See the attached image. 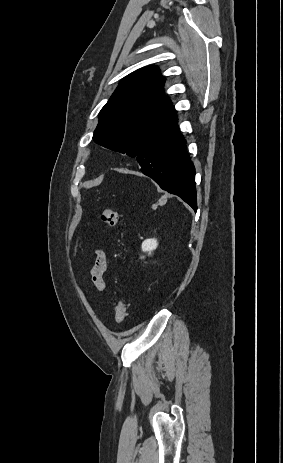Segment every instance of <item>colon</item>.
Segmentation results:
<instances>
[{
  "instance_id": "obj_1",
  "label": "colon",
  "mask_w": 283,
  "mask_h": 463,
  "mask_svg": "<svg viewBox=\"0 0 283 463\" xmlns=\"http://www.w3.org/2000/svg\"><path fill=\"white\" fill-rule=\"evenodd\" d=\"M99 220L111 227L116 228L119 225V216L114 209H104L99 213ZM127 315V303L124 298H120L115 308V322L120 325Z\"/></svg>"
}]
</instances>
